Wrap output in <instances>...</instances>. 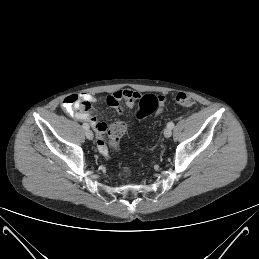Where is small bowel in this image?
<instances>
[{"label":"small bowel","mask_w":259,"mask_h":259,"mask_svg":"<svg viewBox=\"0 0 259 259\" xmlns=\"http://www.w3.org/2000/svg\"><path fill=\"white\" fill-rule=\"evenodd\" d=\"M140 94L130 89L117 90L107 96L106 102L114 107L119 113H122L121 103L124 102L128 107H134ZM158 113L162 112L165 104V97L159 96ZM97 101L96 97L89 93H82L78 96L71 95L63 100V108L70 112L76 119L88 122L96 133L97 146L99 151L106 155L107 146L104 135L108 129L107 124L100 122L97 117L91 113L89 106Z\"/></svg>","instance_id":"small-bowel-1"}]
</instances>
